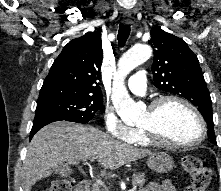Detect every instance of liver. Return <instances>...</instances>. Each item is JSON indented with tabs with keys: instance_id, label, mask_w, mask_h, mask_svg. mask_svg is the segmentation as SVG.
Returning a JSON list of instances; mask_svg holds the SVG:
<instances>
[{
	"instance_id": "1",
	"label": "liver",
	"mask_w": 221,
	"mask_h": 191,
	"mask_svg": "<svg viewBox=\"0 0 221 191\" xmlns=\"http://www.w3.org/2000/svg\"><path fill=\"white\" fill-rule=\"evenodd\" d=\"M151 154L92 126L55 122L38 131L29 144L22 174L24 191H31L37 181L49 177L52 169L61 164L75 165L95 158L104 168L101 174L106 175L107 169L115 170Z\"/></svg>"
}]
</instances>
